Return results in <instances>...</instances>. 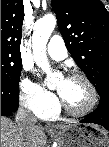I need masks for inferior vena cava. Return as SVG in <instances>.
<instances>
[{"instance_id":"602c4592","label":"inferior vena cava","mask_w":109,"mask_h":147,"mask_svg":"<svg viewBox=\"0 0 109 147\" xmlns=\"http://www.w3.org/2000/svg\"><path fill=\"white\" fill-rule=\"evenodd\" d=\"M15 120L18 130L24 135V138L31 139L32 133L37 127V119L33 113L28 109L19 107Z\"/></svg>"}]
</instances>
